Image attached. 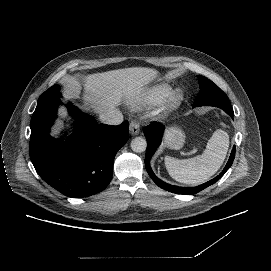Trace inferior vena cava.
Wrapping results in <instances>:
<instances>
[{
  "mask_svg": "<svg viewBox=\"0 0 271 271\" xmlns=\"http://www.w3.org/2000/svg\"><path fill=\"white\" fill-rule=\"evenodd\" d=\"M100 120L107 125H120L123 122V115L118 110L110 109L100 115Z\"/></svg>",
  "mask_w": 271,
  "mask_h": 271,
  "instance_id": "obj_1",
  "label": "inferior vena cava"
}]
</instances>
